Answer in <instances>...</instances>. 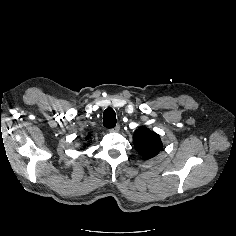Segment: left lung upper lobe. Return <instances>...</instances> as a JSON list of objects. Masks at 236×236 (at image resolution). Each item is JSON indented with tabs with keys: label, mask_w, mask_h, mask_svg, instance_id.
Returning <instances> with one entry per match:
<instances>
[{
	"label": "left lung upper lobe",
	"mask_w": 236,
	"mask_h": 236,
	"mask_svg": "<svg viewBox=\"0 0 236 236\" xmlns=\"http://www.w3.org/2000/svg\"><path fill=\"white\" fill-rule=\"evenodd\" d=\"M134 147L144 160L155 157L163 145L158 134L141 126L133 135Z\"/></svg>",
	"instance_id": "left-lung-upper-lobe-1"
}]
</instances>
